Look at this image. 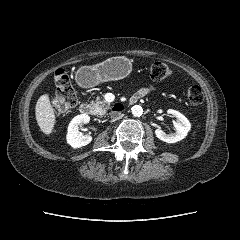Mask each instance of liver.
I'll return each instance as SVG.
<instances>
[{"mask_svg": "<svg viewBox=\"0 0 240 240\" xmlns=\"http://www.w3.org/2000/svg\"><path fill=\"white\" fill-rule=\"evenodd\" d=\"M35 115L41 131L46 135H50L54 129L56 117L48 94L41 95L37 100Z\"/></svg>", "mask_w": 240, "mask_h": 240, "instance_id": "liver-1", "label": "liver"}]
</instances>
